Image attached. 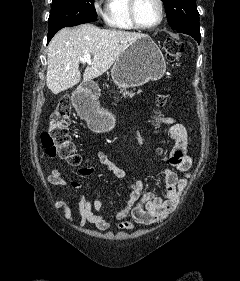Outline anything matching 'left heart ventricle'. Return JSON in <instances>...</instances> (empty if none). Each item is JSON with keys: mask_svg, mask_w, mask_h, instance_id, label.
<instances>
[{"mask_svg": "<svg viewBox=\"0 0 240 281\" xmlns=\"http://www.w3.org/2000/svg\"><path fill=\"white\" fill-rule=\"evenodd\" d=\"M137 17L141 24L152 25L159 19L160 11L156 0H138Z\"/></svg>", "mask_w": 240, "mask_h": 281, "instance_id": "1", "label": "left heart ventricle"}]
</instances>
